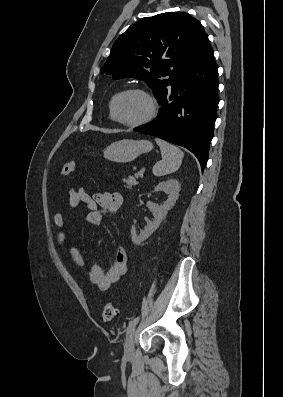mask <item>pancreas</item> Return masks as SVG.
<instances>
[{
	"mask_svg": "<svg viewBox=\"0 0 283 397\" xmlns=\"http://www.w3.org/2000/svg\"><path fill=\"white\" fill-rule=\"evenodd\" d=\"M125 188L131 190L133 186H136L138 184V181L134 177H129L127 179H124Z\"/></svg>",
	"mask_w": 283,
	"mask_h": 397,
	"instance_id": "obj_1",
	"label": "pancreas"
}]
</instances>
